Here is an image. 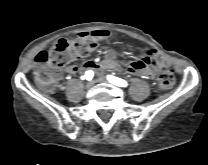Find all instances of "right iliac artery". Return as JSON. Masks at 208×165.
Masks as SVG:
<instances>
[{"label":"right iliac artery","mask_w":208,"mask_h":165,"mask_svg":"<svg viewBox=\"0 0 208 165\" xmlns=\"http://www.w3.org/2000/svg\"><path fill=\"white\" fill-rule=\"evenodd\" d=\"M85 78L87 80H91L93 78V72L92 71H87L85 74Z\"/></svg>","instance_id":"right-iliac-artery-1"}]
</instances>
